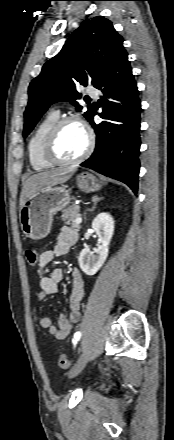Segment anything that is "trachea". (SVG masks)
Instances as JSON below:
<instances>
[{
    "label": "trachea",
    "mask_w": 174,
    "mask_h": 440,
    "mask_svg": "<svg viewBox=\"0 0 174 440\" xmlns=\"http://www.w3.org/2000/svg\"><path fill=\"white\" fill-rule=\"evenodd\" d=\"M86 100H90V98H89V97H87V98H86Z\"/></svg>",
    "instance_id": "trachea-1"
}]
</instances>
